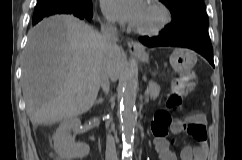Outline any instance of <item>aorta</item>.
Returning <instances> with one entry per match:
<instances>
[{"mask_svg": "<svg viewBox=\"0 0 242 160\" xmlns=\"http://www.w3.org/2000/svg\"><path fill=\"white\" fill-rule=\"evenodd\" d=\"M137 75L128 72L123 79V97L120 104L121 128L123 140V154L127 159L130 157V145L134 138V130L137 121L135 100L137 95Z\"/></svg>", "mask_w": 242, "mask_h": 160, "instance_id": "1", "label": "aorta"}]
</instances>
